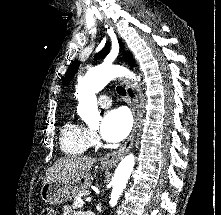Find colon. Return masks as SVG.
Here are the masks:
<instances>
[{
	"instance_id": "1",
	"label": "colon",
	"mask_w": 221,
	"mask_h": 215,
	"mask_svg": "<svg viewBox=\"0 0 221 215\" xmlns=\"http://www.w3.org/2000/svg\"><path fill=\"white\" fill-rule=\"evenodd\" d=\"M41 215H58L55 208H46Z\"/></svg>"
}]
</instances>
